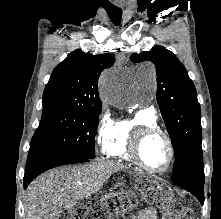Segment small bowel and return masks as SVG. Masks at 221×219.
<instances>
[{
    "mask_svg": "<svg viewBox=\"0 0 221 219\" xmlns=\"http://www.w3.org/2000/svg\"><path fill=\"white\" fill-rule=\"evenodd\" d=\"M132 219H157V215L154 209L148 208L143 210L138 217Z\"/></svg>",
    "mask_w": 221,
    "mask_h": 219,
    "instance_id": "obj_1",
    "label": "small bowel"
}]
</instances>
